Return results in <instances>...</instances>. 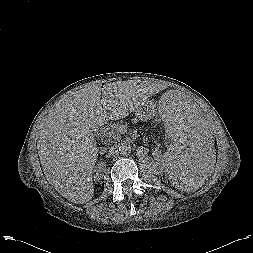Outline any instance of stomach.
Returning a JSON list of instances; mask_svg holds the SVG:
<instances>
[{
    "label": "stomach",
    "mask_w": 253,
    "mask_h": 253,
    "mask_svg": "<svg viewBox=\"0 0 253 253\" xmlns=\"http://www.w3.org/2000/svg\"><path fill=\"white\" fill-rule=\"evenodd\" d=\"M136 117L141 121H147L155 116L154 105L145 103L135 111Z\"/></svg>",
    "instance_id": "obj_1"
}]
</instances>
